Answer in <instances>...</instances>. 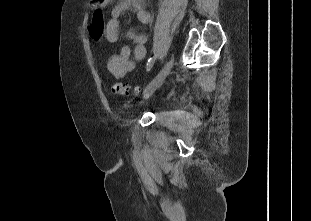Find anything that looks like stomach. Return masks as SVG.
I'll use <instances>...</instances> for the list:
<instances>
[{"label": "stomach", "mask_w": 311, "mask_h": 221, "mask_svg": "<svg viewBox=\"0 0 311 221\" xmlns=\"http://www.w3.org/2000/svg\"><path fill=\"white\" fill-rule=\"evenodd\" d=\"M108 0H96V4H99V6H105L107 4Z\"/></svg>", "instance_id": "1"}]
</instances>
